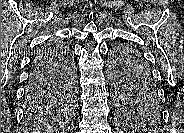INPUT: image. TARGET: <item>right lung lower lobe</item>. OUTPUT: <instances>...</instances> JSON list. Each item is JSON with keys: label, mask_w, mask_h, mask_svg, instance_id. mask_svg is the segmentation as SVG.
Listing matches in <instances>:
<instances>
[{"label": "right lung lower lobe", "mask_w": 184, "mask_h": 133, "mask_svg": "<svg viewBox=\"0 0 184 133\" xmlns=\"http://www.w3.org/2000/svg\"><path fill=\"white\" fill-rule=\"evenodd\" d=\"M52 42L43 46L33 57L25 97L39 99L53 86L55 72L60 62L59 55L54 52ZM66 55L71 56L66 52Z\"/></svg>", "instance_id": "right-lung-lower-lobe-1"}]
</instances>
